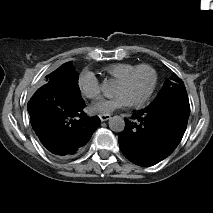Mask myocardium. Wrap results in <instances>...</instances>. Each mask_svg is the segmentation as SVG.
Here are the masks:
<instances>
[{"label": "myocardium", "mask_w": 213, "mask_h": 213, "mask_svg": "<svg viewBox=\"0 0 213 213\" xmlns=\"http://www.w3.org/2000/svg\"><path fill=\"white\" fill-rule=\"evenodd\" d=\"M141 72H146L149 74L150 84L147 90L142 95L129 99L130 103L134 105L145 102L154 91L157 82V75L154 69L149 66H139L132 70L127 76L121 78L120 80H116L120 85H127Z\"/></svg>", "instance_id": "myocardium-1"}]
</instances>
